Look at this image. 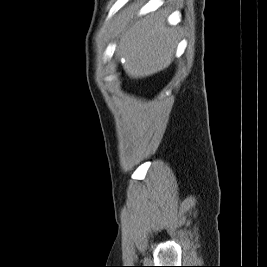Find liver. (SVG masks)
<instances>
[{
  "instance_id": "liver-1",
  "label": "liver",
  "mask_w": 267,
  "mask_h": 267,
  "mask_svg": "<svg viewBox=\"0 0 267 267\" xmlns=\"http://www.w3.org/2000/svg\"><path fill=\"white\" fill-rule=\"evenodd\" d=\"M133 4L115 32L116 55L133 79H141L166 69L174 59L178 33L167 23L164 11L138 17Z\"/></svg>"
}]
</instances>
